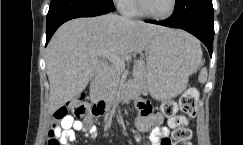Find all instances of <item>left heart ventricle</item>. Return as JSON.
I'll return each mask as SVG.
<instances>
[{
    "label": "left heart ventricle",
    "instance_id": "left-heart-ventricle-1",
    "mask_svg": "<svg viewBox=\"0 0 243 145\" xmlns=\"http://www.w3.org/2000/svg\"><path fill=\"white\" fill-rule=\"evenodd\" d=\"M172 0H142L143 7L154 15H163L171 7Z\"/></svg>",
    "mask_w": 243,
    "mask_h": 145
}]
</instances>
